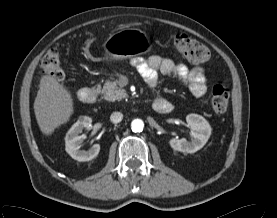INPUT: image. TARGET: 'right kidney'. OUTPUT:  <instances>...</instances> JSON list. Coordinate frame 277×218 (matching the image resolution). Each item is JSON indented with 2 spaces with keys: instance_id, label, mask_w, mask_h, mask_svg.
<instances>
[{
  "instance_id": "1",
  "label": "right kidney",
  "mask_w": 277,
  "mask_h": 218,
  "mask_svg": "<svg viewBox=\"0 0 277 218\" xmlns=\"http://www.w3.org/2000/svg\"><path fill=\"white\" fill-rule=\"evenodd\" d=\"M92 119L88 116H81L76 123L72 125L65 137V150L75 160L84 162L94 159L99 151L100 145L94 144L89 150H80L85 139V135H80L84 128L91 126Z\"/></svg>"
}]
</instances>
